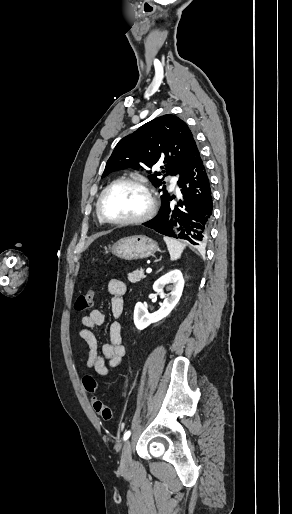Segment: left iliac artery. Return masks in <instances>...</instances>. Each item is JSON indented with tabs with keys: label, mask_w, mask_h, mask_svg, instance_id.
<instances>
[{
	"label": "left iliac artery",
	"mask_w": 292,
	"mask_h": 514,
	"mask_svg": "<svg viewBox=\"0 0 292 514\" xmlns=\"http://www.w3.org/2000/svg\"><path fill=\"white\" fill-rule=\"evenodd\" d=\"M130 435H131V432L130 431H126L124 433L123 440L126 441L130 437Z\"/></svg>",
	"instance_id": "left-iliac-artery-1"
}]
</instances>
